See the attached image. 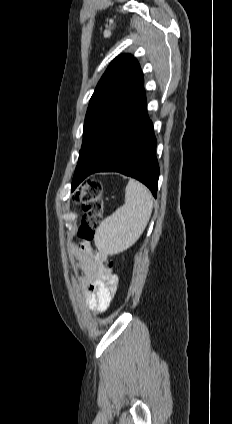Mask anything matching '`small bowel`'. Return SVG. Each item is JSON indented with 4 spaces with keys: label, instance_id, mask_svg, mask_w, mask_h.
I'll return each instance as SVG.
<instances>
[{
    "label": "small bowel",
    "instance_id": "obj_1",
    "mask_svg": "<svg viewBox=\"0 0 232 424\" xmlns=\"http://www.w3.org/2000/svg\"><path fill=\"white\" fill-rule=\"evenodd\" d=\"M90 245L82 243L72 246L71 257L83 272L82 286L85 303L95 313L104 312L117 291V278L107 272L98 257L89 253Z\"/></svg>",
    "mask_w": 232,
    "mask_h": 424
}]
</instances>
